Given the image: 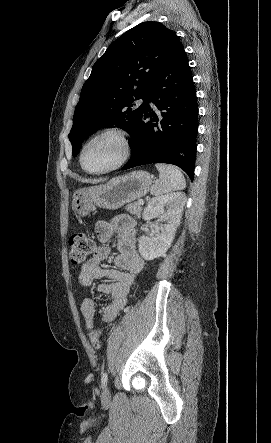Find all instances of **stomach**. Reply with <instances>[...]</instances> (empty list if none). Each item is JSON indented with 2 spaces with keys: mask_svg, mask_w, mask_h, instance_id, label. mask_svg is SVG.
Masks as SVG:
<instances>
[{
  "mask_svg": "<svg viewBox=\"0 0 271 443\" xmlns=\"http://www.w3.org/2000/svg\"><path fill=\"white\" fill-rule=\"evenodd\" d=\"M152 184L153 180L148 172L137 170L120 178H113L104 186L75 190L71 208L78 216H87L94 206L106 210H118L124 204L146 196Z\"/></svg>",
  "mask_w": 271,
  "mask_h": 443,
  "instance_id": "obj_1",
  "label": "stomach"
}]
</instances>
